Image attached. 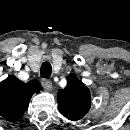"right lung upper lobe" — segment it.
I'll use <instances>...</instances> for the list:
<instances>
[{
	"label": "right lung upper lobe",
	"mask_w": 130,
	"mask_h": 130,
	"mask_svg": "<svg viewBox=\"0 0 130 130\" xmlns=\"http://www.w3.org/2000/svg\"><path fill=\"white\" fill-rule=\"evenodd\" d=\"M36 80L28 83L11 76L0 83V115L8 120L21 117L34 93L42 90Z\"/></svg>",
	"instance_id": "obj_1"
}]
</instances>
